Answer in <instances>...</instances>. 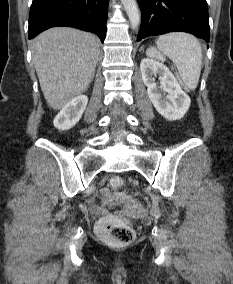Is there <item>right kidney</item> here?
I'll list each match as a JSON object with an SVG mask.
<instances>
[{
	"label": "right kidney",
	"mask_w": 233,
	"mask_h": 284,
	"mask_svg": "<svg viewBox=\"0 0 233 284\" xmlns=\"http://www.w3.org/2000/svg\"><path fill=\"white\" fill-rule=\"evenodd\" d=\"M88 97L78 95L67 103L55 117L53 124L59 130L72 128L82 117L87 106Z\"/></svg>",
	"instance_id": "right-kidney-1"
}]
</instances>
